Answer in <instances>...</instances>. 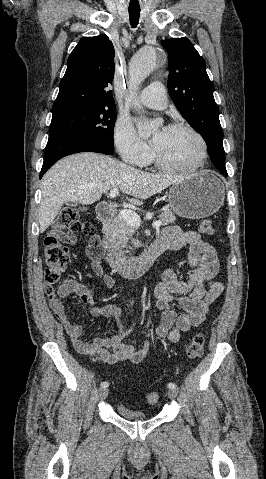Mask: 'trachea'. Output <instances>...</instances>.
I'll list each match as a JSON object with an SVG mask.
<instances>
[{"instance_id":"1","label":"trachea","mask_w":266,"mask_h":479,"mask_svg":"<svg viewBox=\"0 0 266 479\" xmlns=\"http://www.w3.org/2000/svg\"><path fill=\"white\" fill-rule=\"evenodd\" d=\"M128 12L130 17V24L133 28H135L138 25L140 9H128Z\"/></svg>"}]
</instances>
